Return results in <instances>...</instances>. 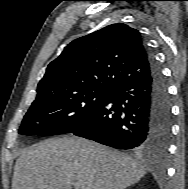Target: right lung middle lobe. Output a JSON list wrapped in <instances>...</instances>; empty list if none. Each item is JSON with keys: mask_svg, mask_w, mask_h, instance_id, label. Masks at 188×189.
<instances>
[{"mask_svg": "<svg viewBox=\"0 0 188 189\" xmlns=\"http://www.w3.org/2000/svg\"><path fill=\"white\" fill-rule=\"evenodd\" d=\"M111 91L108 88H90L37 96L24 116L19 133H71L89 118Z\"/></svg>", "mask_w": 188, "mask_h": 189, "instance_id": "obj_1", "label": "right lung middle lobe"}]
</instances>
